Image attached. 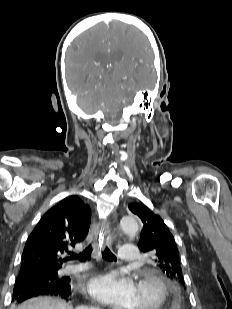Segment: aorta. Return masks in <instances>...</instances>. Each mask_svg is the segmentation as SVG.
<instances>
[{
    "mask_svg": "<svg viewBox=\"0 0 232 309\" xmlns=\"http://www.w3.org/2000/svg\"><path fill=\"white\" fill-rule=\"evenodd\" d=\"M121 230L126 234L134 235L139 231V224L134 216L123 217L119 224Z\"/></svg>",
    "mask_w": 232,
    "mask_h": 309,
    "instance_id": "obj_1",
    "label": "aorta"
}]
</instances>
